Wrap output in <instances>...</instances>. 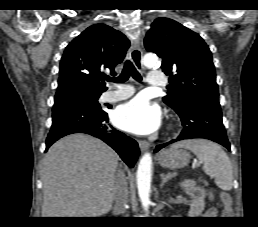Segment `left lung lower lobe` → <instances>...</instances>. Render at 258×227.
<instances>
[{
  "mask_svg": "<svg viewBox=\"0 0 258 227\" xmlns=\"http://www.w3.org/2000/svg\"><path fill=\"white\" fill-rule=\"evenodd\" d=\"M181 118L183 130L180 135L156 147L155 152L168 144L191 138H205L217 142L228 150L226 131L222 123V113L219 102L198 101L187 107L185 111L177 112Z\"/></svg>",
  "mask_w": 258,
  "mask_h": 227,
  "instance_id": "1",
  "label": "left lung lower lobe"
}]
</instances>
